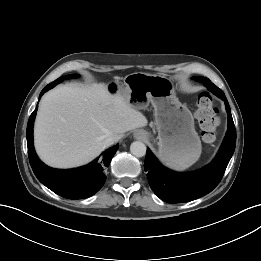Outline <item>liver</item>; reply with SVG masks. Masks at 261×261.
<instances>
[{
	"mask_svg": "<svg viewBox=\"0 0 261 261\" xmlns=\"http://www.w3.org/2000/svg\"><path fill=\"white\" fill-rule=\"evenodd\" d=\"M147 118L103 84H66L47 92L39 105L34 144L40 159L55 168L89 163L108 136L147 126Z\"/></svg>",
	"mask_w": 261,
	"mask_h": 261,
	"instance_id": "obj_1",
	"label": "liver"
}]
</instances>
